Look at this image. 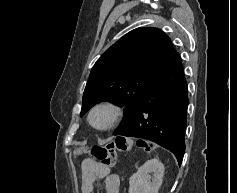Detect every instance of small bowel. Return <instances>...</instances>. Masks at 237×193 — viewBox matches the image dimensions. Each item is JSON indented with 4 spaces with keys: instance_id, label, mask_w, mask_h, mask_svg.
Here are the masks:
<instances>
[{
    "instance_id": "small-bowel-1",
    "label": "small bowel",
    "mask_w": 237,
    "mask_h": 193,
    "mask_svg": "<svg viewBox=\"0 0 237 193\" xmlns=\"http://www.w3.org/2000/svg\"><path fill=\"white\" fill-rule=\"evenodd\" d=\"M97 179L104 181L105 193H119L121 185L119 175L93 162L83 168L81 193H94Z\"/></svg>"
}]
</instances>
